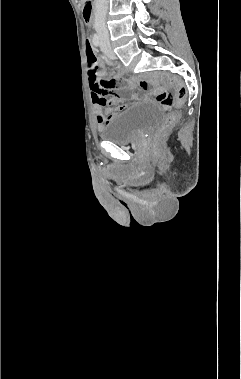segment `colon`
Returning a JSON list of instances; mask_svg holds the SVG:
<instances>
[{
  "label": "colon",
  "mask_w": 241,
  "mask_h": 379,
  "mask_svg": "<svg viewBox=\"0 0 241 379\" xmlns=\"http://www.w3.org/2000/svg\"><path fill=\"white\" fill-rule=\"evenodd\" d=\"M86 59H87V68H88V77L87 80L90 82V89H94L101 95H107L114 93L118 96L124 95L122 91L116 90L115 85L112 82H101L99 75H97V56L91 45L87 40L86 42ZM177 85L178 82L174 81ZM186 98V90L183 86L179 85L178 92L175 96L168 92H161L156 95L157 102L165 109H169L174 105H180ZM178 115L172 113L168 116L164 124L158 130L156 139L163 137L171 126L177 121Z\"/></svg>",
  "instance_id": "5ec220e1"
}]
</instances>
